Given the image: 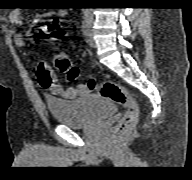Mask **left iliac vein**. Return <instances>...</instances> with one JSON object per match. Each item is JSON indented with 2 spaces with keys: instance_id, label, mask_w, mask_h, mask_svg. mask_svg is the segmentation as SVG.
<instances>
[{
  "instance_id": "obj_1",
  "label": "left iliac vein",
  "mask_w": 192,
  "mask_h": 180,
  "mask_svg": "<svg viewBox=\"0 0 192 180\" xmlns=\"http://www.w3.org/2000/svg\"><path fill=\"white\" fill-rule=\"evenodd\" d=\"M86 42L90 47H95L96 43L95 40L93 39V34L91 30H88L86 33Z\"/></svg>"
}]
</instances>
